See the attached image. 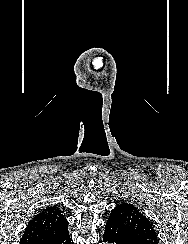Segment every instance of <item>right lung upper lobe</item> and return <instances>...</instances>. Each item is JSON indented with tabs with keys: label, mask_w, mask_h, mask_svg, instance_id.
I'll return each instance as SVG.
<instances>
[{
	"label": "right lung upper lobe",
	"mask_w": 188,
	"mask_h": 244,
	"mask_svg": "<svg viewBox=\"0 0 188 244\" xmlns=\"http://www.w3.org/2000/svg\"><path fill=\"white\" fill-rule=\"evenodd\" d=\"M62 213L56 206L41 210L28 223L20 244H30V242L44 239L67 228L68 222Z\"/></svg>",
	"instance_id": "1"
}]
</instances>
